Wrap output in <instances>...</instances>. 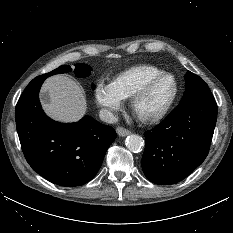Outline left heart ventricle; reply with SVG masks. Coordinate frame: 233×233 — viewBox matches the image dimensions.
Masks as SVG:
<instances>
[{"label": "left heart ventricle", "mask_w": 233, "mask_h": 233, "mask_svg": "<svg viewBox=\"0 0 233 233\" xmlns=\"http://www.w3.org/2000/svg\"><path fill=\"white\" fill-rule=\"evenodd\" d=\"M174 89L172 79L164 78L157 82L150 92L140 101L138 109L150 115L160 111L170 99Z\"/></svg>", "instance_id": "1"}]
</instances>
